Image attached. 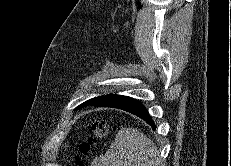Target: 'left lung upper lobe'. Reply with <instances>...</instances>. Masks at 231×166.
I'll return each mask as SVG.
<instances>
[{
  "instance_id": "obj_1",
  "label": "left lung upper lobe",
  "mask_w": 231,
  "mask_h": 166,
  "mask_svg": "<svg viewBox=\"0 0 231 166\" xmlns=\"http://www.w3.org/2000/svg\"><path fill=\"white\" fill-rule=\"evenodd\" d=\"M98 97L92 98L90 100L85 101L84 103L80 104L78 107H76V109H81L83 107L89 106L95 99H97Z\"/></svg>"
}]
</instances>
